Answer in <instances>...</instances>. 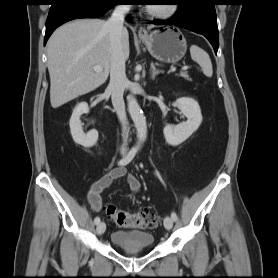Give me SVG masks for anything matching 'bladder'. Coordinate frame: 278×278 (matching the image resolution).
Masks as SVG:
<instances>
[{"label":"bladder","mask_w":278,"mask_h":278,"mask_svg":"<svg viewBox=\"0 0 278 278\" xmlns=\"http://www.w3.org/2000/svg\"><path fill=\"white\" fill-rule=\"evenodd\" d=\"M154 235L141 230H117L111 233L110 241L120 248L145 249L154 244Z\"/></svg>","instance_id":"bladder-1"}]
</instances>
